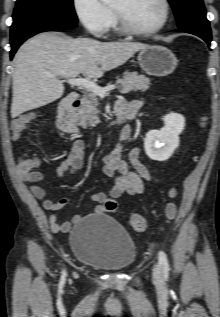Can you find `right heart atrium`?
<instances>
[{"mask_svg":"<svg viewBox=\"0 0 220 317\" xmlns=\"http://www.w3.org/2000/svg\"><path fill=\"white\" fill-rule=\"evenodd\" d=\"M74 12L82 26L92 35L106 34L113 20V13L101 0H73Z\"/></svg>","mask_w":220,"mask_h":317,"instance_id":"right-heart-atrium-1","label":"right heart atrium"}]
</instances>
